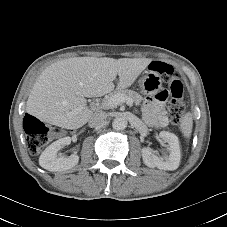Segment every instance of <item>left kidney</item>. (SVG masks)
<instances>
[{"instance_id":"1","label":"left kidney","mask_w":227,"mask_h":227,"mask_svg":"<svg viewBox=\"0 0 227 227\" xmlns=\"http://www.w3.org/2000/svg\"><path fill=\"white\" fill-rule=\"evenodd\" d=\"M159 137L168 143L169 155L158 157L151 148L142 149V158L146 166L150 168L157 167L162 170H176L181 160V152L178 137L170 132L161 131Z\"/></svg>"}]
</instances>
